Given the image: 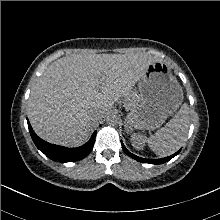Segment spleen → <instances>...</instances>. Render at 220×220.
<instances>
[{"mask_svg":"<svg viewBox=\"0 0 220 220\" xmlns=\"http://www.w3.org/2000/svg\"><path fill=\"white\" fill-rule=\"evenodd\" d=\"M189 122V106L184 103L164 127L146 140L149 148L158 156L173 154L186 141Z\"/></svg>","mask_w":220,"mask_h":220,"instance_id":"spleen-1","label":"spleen"}]
</instances>
